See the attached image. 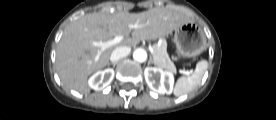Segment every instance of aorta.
<instances>
[{"instance_id":"obj_1","label":"aorta","mask_w":276,"mask_h":120,"mask_svg":"<svg viewBox=\"0 0 276 120\" xmlns=\"http://www.w3.org/2000/svg\"><path fill=\"white\" fill-rule=\"evenodd\" d=\"M133 58L138 62H145L147 59V53L144 49L138 48L134 51Z\"/></svg>"}]
</instances>
